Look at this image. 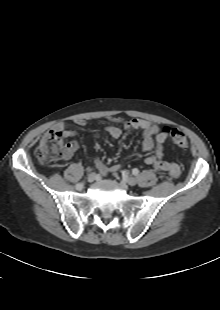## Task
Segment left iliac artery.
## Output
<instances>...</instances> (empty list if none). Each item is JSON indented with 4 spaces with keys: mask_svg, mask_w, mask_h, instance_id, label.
<instances>
[{
    "mask_svg": "<svg viewBox=\"0 0 220 310\" xmlns=\"http://www.w3.org/2000/svg\"><path fill=\"white\" fill-rule=\"evenodd\" d=\"M132 173H133L134 175H138L139 170H138L137 168H134V169L132 170Z\"/></svg>",
    "mask_w": 220,
    "mask_h": 310,
    "instance_id": "obj_1",
    "label": "left iliac artery"
}]
</instances>
